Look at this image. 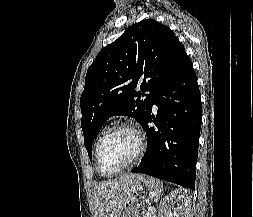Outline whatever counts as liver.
Listing matches in <instances>:
<instances>
[{"mask_svg": "<svg viewBox=\"0 0 253 217\" xmlns=\"http://www.w3.org/2000/svg\"><path fill=\"white\" fill-rule=\"evenodd\" d=\"M140 174H124L113 180L96 184L93 190L94 217H118L128 202Z\"/></svg>", "mask_w": 253, "mask_h": 217, "instance_id": "1", "label": "liver"}]
</instances>
